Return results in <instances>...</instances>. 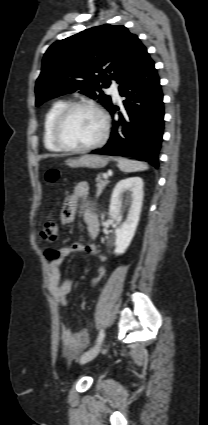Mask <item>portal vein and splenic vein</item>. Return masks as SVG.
Returning a JSON list of instances; mask_svg holds the SVG:
<instances>
[{
    "instance_id": "obj_1",
    "label": "portal vein and splenic vein",
    "mask_w": 208,
    "mask_h": 425,
    "mask_svg": "<svg viewBox=\"0 0 208 425\" xmlns=\"http://www.w3.org/2000/svg\"><path fill=\"white\" fill-rule=\"evenodd\" d=\"M108 177H109V175H108V174H106V173H104V174H103V178H104V179H108Z\"/></svg>"
}]
</instances>
